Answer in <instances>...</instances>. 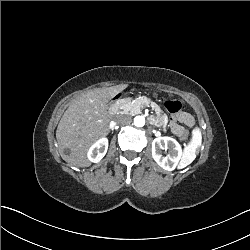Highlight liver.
<instances>
[{"mask_svg": "<svg viewBox=\"0 0 250 250\" xmlns=\"http://www.w3.org/2000/svg\"><path fill=\"white\" fill-rule=\"evenodd\" d=\"M125 88L126 85L96 88L81 93L70 104L56 130L58 150L64 161L78 167L91 165L86 156L89 146L110 132L108 102Z\"/></svg>", "mask_w": 250, "mask_h": 250, "instance_id": "obj_1", "label": "liver"}]
</instances>
